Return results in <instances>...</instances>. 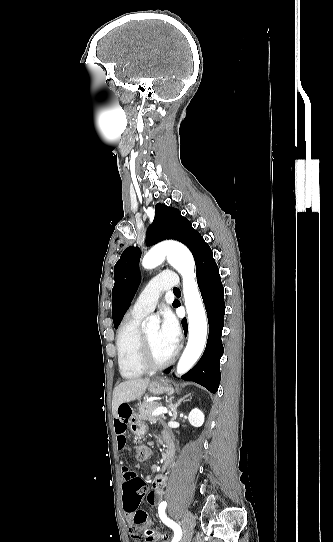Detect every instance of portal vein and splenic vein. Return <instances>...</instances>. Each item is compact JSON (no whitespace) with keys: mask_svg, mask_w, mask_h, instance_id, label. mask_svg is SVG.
I'll return each mask as SVG.
<instances>
[{"mask_svg":"<svg viewBox=\"0 0 333 542\" xmlns=\"http://www.w3.org/2000/svg\"><path fill=\"white\" fill-rule=\"evenodd\" d=\"M161 414H168L167 408H163V406H160V408H156L154 412H151V416H161Z\"/></svg>","mask_w":333,"mask_h":542,"instance_id":"obj_1","label":"portal vein and splenic vein"}]
</instances>
